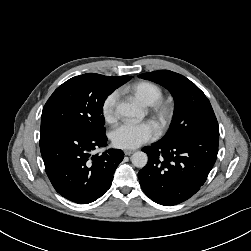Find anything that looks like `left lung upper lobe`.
<instances>
[{"label":"left lung upper lobe","mask_w":251,"mask_h":251,"mask_svg":"<svg viewBox=\"0 0 251 251\" xmlns=\"http://www.w3.org/2000/svg\"><path fill=\"white\" fill-rule=\"evenodd\" d=\"M139 77L164 86L175 100L170 129L160 141L173 143L194 135L219 136L218 122L209 100L189 79L168 70L144 73Z\"/></svg>","instance_id":"obj_1"}]
</instances>
